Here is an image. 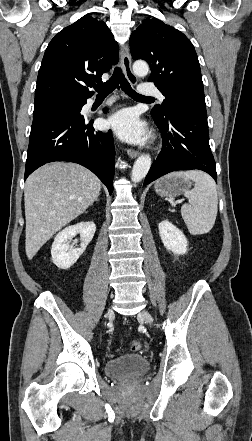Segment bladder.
I'll list each match as a JSON object with an SVG mask.
<instances>
[{
	"label": "bladder",
	"mask_w": 252,
	"mask_h": 441,
	"mask_svg": "<svg viewBox=\"0 0 252 441\" xmlns=\"http://www.w3.org/2000/svg\"><path fill=\"white\" fill-rule=\"evenodd\" d=\"M150 368L149 360L138 354H130L109 360L105 363L104 370L111 378H131L145 374Z\"/></svg>",
	"instance_id": "31cf9c89"
}]
</instances>
